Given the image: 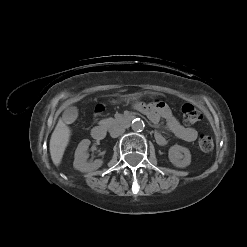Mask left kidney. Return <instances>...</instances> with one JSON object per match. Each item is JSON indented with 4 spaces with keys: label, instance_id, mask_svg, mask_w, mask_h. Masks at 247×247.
Returning <instances> with one entry per match:
<instances>
[{
    "label": "left kidney",
    "instance_id": "5707ae66",
    "mask_svg": "<svg viewBox=\"0 0 247 247\" xmlns=\"http://www.w3.org/2000/svg\"><path fill=\"white\" fill-rule=\"evenodd\" d=\"M168 158L178 168H185L191 163V154L188 148L174 145L169 148Z\"/></svg>",
    "mask_w": 247,
    "mask_h": 247
}]
</instances>
